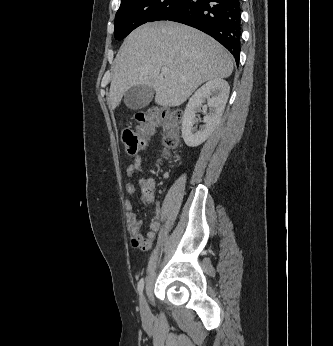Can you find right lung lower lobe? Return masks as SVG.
I'll list each match as a JSON object with an SVG mask.
<instances>
[{"label": "right lung lower lobe", "mask_w": 333, "mask_h": 346, "mask_svg": "<svg viewBox=\"0 0 333 346\" xmlns=\"http://www.w3.org/2000/svg\"><path fill=\"white\" fill-rule=\"evenodd\" d=\"M165 20L197 28L220 42L234 56H240V0H184Z\"/></svg>", "instance_id": "98d812e1"}]
</instances>
